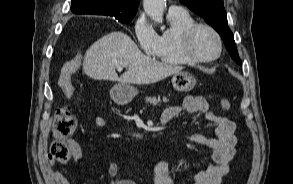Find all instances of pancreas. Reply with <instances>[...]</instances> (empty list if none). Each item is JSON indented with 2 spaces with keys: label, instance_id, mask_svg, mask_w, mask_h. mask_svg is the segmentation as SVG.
Wrapping results in <instances>:
<instances>
[{
  "label": "pancreas",
  "instance_id": "obj_1",
  "mask_svg": "<svg viewBox=\"0 0 293 184\" xmlns=\"http://www.w3.org/2000/svg\"><path fill=\"white\" fill-rule=\"evenodd\" d=\"M146 102L155 106V105L161 103V99H160V96H158L157 98L156 97H149V98H146ZM163 102H168V99L167 98H163ZM136 137L140 138L141 136L140 135H136Z\"/></svg>",
  "mask_w": 293,
  "mask_h": 184
}]
</instances>
